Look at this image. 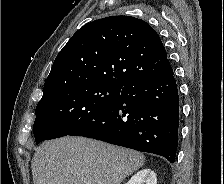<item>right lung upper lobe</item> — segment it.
<instances>
[{
  "label": "right lung upper lobe",
  "instance_id": "right-lung-upper-lobe-1",
  "mask_svg": "<svg viewBox=\"0 0 224 184\" xmlns=\"http://www.w3.org/2000/svg\"><path fill=\"white\" fill-rule=\"evenodd\" d=\"M171 71L163 43L148 23L106 17L81 27L59 52L40 101L81 83L127 85Z\"/></svg>",
  "mask_w": 224,
  "mask_h": 184
}]
</instances>
